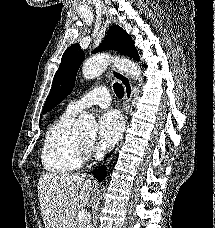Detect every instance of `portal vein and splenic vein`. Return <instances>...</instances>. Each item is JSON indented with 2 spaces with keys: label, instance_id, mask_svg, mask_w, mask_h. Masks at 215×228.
Listing matches in <instances>:
<instances>
[{
  "label": "portal vein and splenic vein",
  "instance_id": "portal-vein-and-splenic-vein-1",
  "mask_svg": "<svg viewBox=\"0 0 215 228\" xmlns=\"http://www.w3.org/2000/svg\"><path fill=\"white\" fill-rule=\"evenodd\" d=\"M87 218H89V214L86 212V210H81V212L77 214L78 222H84V220H87Z\"/></svg>",
  "mask_w": 215,
  "mask_h": 228
}]
</instances>
